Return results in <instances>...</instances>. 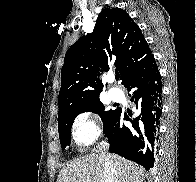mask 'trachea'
<instances>
[{
    "label": "trachea",
    "instance_id": "obj_1",
    "mask_svg": "<svg viewBox=\"0 0 196 182\" xmlns=\"http://www.w3.org/2000/svg\"><path fill=\"white\" fill-rule=\"evenodd\" d=\"M116 80H119V78H120V75L119 74H116Z\"/></svg>",
    "mask_w": 196,
    "mask_h": 182
}]
</instances>
